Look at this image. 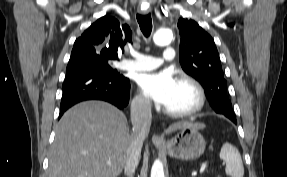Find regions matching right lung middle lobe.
<instances>
[{
    "instance_id": "right-lung-middle-lobe-1",
    "label": "right lung middle lobe",
    "mask_w": 287,
    "mask_h": 177,
    "mask_svg": "<svg viewBox=\"0 0 287 177\" xmlns=\"http://www.w3.org/2000/svg\"><path fill=\"white\" fill-rule=\"evenodd\" d=\"M110 62L111 60H105L99 57L90 56L79 58L74 61H69L66 68V74L82 70H93L107 76L120 77L121 75L117 72V70L110 67Z\"/></svg>"
}]
</instances>
